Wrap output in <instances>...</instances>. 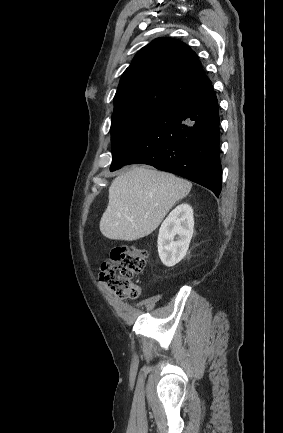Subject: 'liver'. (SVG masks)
I'll list each match as a JSON object with an SVG mask.
<instances>
[{"instance_id":"liver-1","label":"liver","mask_w":283,"mask_h":433,"mask_svg":"<svg viewBox=\"0 0 283 433\" xmlns=\"http://www.w3.org/2000/svg\"><path fill=\"white\" fill-rule=\"evenodd\" d=\"M191 186V182L170 172L134 166L116 176L109 186L108 206L100 221L102 235L115 241L147 237Z\"/></svg>"}]
</instances>
